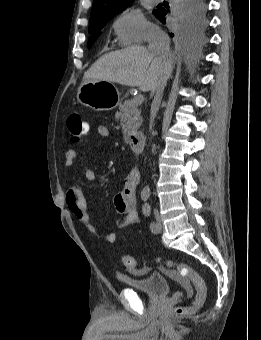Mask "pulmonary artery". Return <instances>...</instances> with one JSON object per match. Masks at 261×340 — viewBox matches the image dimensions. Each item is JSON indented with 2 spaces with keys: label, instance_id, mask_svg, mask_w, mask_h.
I'll list each match as a JSON object with an SVG mask.
<instances>
[{
  "label": "pulmonary artery",
  "instance_id": "obj_1",
  "mask_svg": "<svg viewBox=\"0 0 261 340\" xmlns=\"http://www.w3.org/2000/svg\"><path fill=\"white\" fill-rule=\"evenodd\" d=\"M160 0H153L154 3H158Z\"/></svg>",
  "mask_w": 261,
  "mask_h": 340
}]
</instances>
